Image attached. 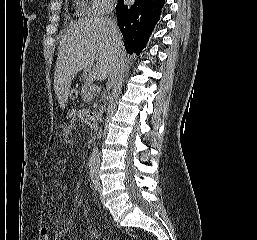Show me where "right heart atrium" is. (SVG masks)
Segmentation results:
<instances>
[{
  "label": "right heart atrium",
  "mask_w": 257,
  "mask_h": 240,
  "mask_svg": "<svg viewBox=\"0 0 257 240\" xmlns=\"http://www.w3.org/2000/svg\"><path fill=\"white\" fill-rule=\"evenodd\" d=\"M115 0H92L89 12L93 15L108 13L114 6Z\"/></svg>",
  "instance_id": "d8ad5b80"
}]
</instances>
